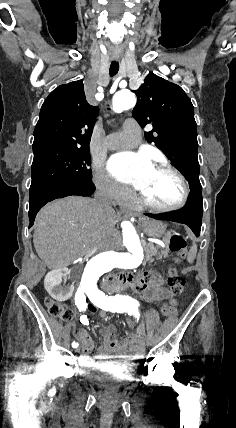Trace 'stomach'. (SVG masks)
<instances>
[{"instance_id": "obj_1", "label": "stomach", "mask_w": 236, "mask_h": 428, "mask_svg": "<svg viewBox=\"0 0 236 428\" xmlns=\"http://www.w3.org/2000/svg\"><path fill=\"white\" fill-rule=\"evenodd\" d=\"M147 236H152V238H161L165 232V226L161 222H154V224H147L145 226Z\"/></svg>"}]
</instances>
